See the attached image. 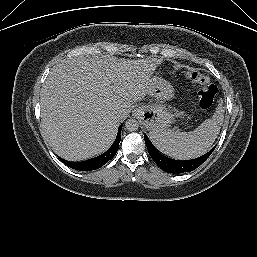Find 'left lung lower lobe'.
Instances as JSON below:
<instances>
[{
	"instance_id": "0a47b994",
	"label": "left lung lower lobe",
	"mask_w": 257,
	"mask_h": 257,
	"mask_svg": "<svg viewBox=\"0 0 257 257\" xmlns=\"http://www.w3.org/2000/svg\"><path fill=\"white\" fill-rule=\"evenodd\" d=\"M145 143L149 155L154 160V162L165 172L167 173H184L190 172L196 168H198L202 163H204L207 158L211 155L215 147H213L209 152L206 154L191 160H174L170 159L160 152H158L153 145L151 144L148 137L144 136Z\"/></svg>"
}]
</instances>
